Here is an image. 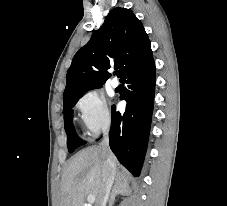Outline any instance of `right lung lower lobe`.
Instances as JSON below:
<instances>
[{"label": "right lung lower lobe", "mask_w": 227, "mask_h": 206, "mask_svg": "<svg viewBox=\"0 0 227 206\" xmlns=\"http://www.w3.org/2000/svg\"><path fill=\"white\" fill-rule=\"evenodd\" d=\"M127 84L122 100L124 114L112 106L110 148L120 163L134 176L140 174L144 161L153 111L155 63L153 56L129 69L120 79Z\"/></svg>", "instance_id": "98d812e1"}]
</instances>
